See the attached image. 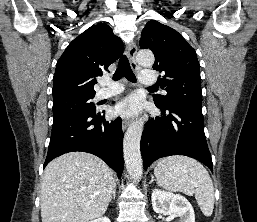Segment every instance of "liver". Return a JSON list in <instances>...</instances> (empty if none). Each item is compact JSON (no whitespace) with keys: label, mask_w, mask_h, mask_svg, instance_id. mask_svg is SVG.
<instances>
[{"label":"liver","mask_w":257,"mask_h":222,"mask_svg":"<svg viewBox=\"0 0 257 222\" xmlns=\"http://www.w3.org/2000/svg\"><path fill=\"white\" fill-rule=\"evenodd\" d=\"M116 183L100 158L70 152L52 160L41 183L42 222H90L107 210Z\"/></svg>","instance_id":"1"}]
</instances>
